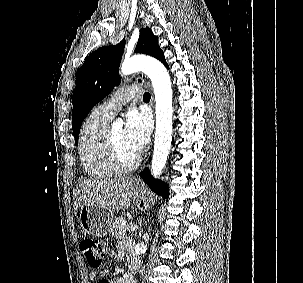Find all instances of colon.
<instances>
[{"label": "colon", "instance_id": "1", "mask_svg": "<svg viewBox=\"0 0 303 283\" xmlns=\"http://www.w3.org/2000/svg\"><path fill=\"white\" fill-rule=\"evenodd\" d=\"M79 247L91 267H99L104 257L108 254L107 243L100 239L83 238ZM99 283H109V281L100 280Z\"/></svg>", "mask_w": 303, "mask_h": 283}]
</instances>
